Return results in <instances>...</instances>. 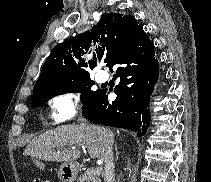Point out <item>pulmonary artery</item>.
<instances>
[{"label": "pulmonary artery", "instance_id": "1", "mask_svg": "<svg viewBox=\"0 0 211 182\" xmlns=\"http://www.w3.org/2000/svg\"><path fill=\"white\" fill-rule=\"evenodd\" d=\"M96 79H97L98 82H104L108 79V76L104 72H99L96 76Z\"/></svg>", "mask_w": 211, "mask_h": 182}]
</instances>
